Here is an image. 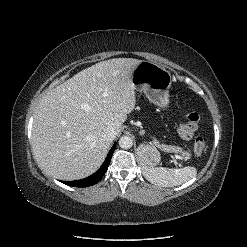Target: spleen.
Here are the masks:
<instances>
[{
    "mask_svg": "<svg viewBox=\"0 0 247 247\" xmlns=\"http://www.w3.org/2000/svg\"><path fill=\"white\" fill-rule=\"evenodd\" d=\"M145 177L153 184L161 187H174L181 185L197 175L195 167L187 166L178 169L164 167H144Z\"/></svg>",
    "mask_w": 247,
    "mask_h": 247,
    "instance_id": "obj_1",
    "label": "spleen"
}]
</instances>
